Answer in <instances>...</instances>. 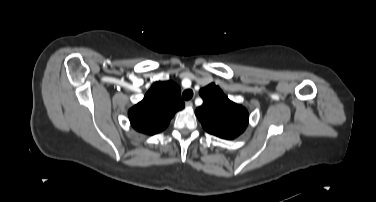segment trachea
<instances>
[{
    "label": "trachea",
    "mask_w": 376,
    "mask_h": 202,
    "mask_svg": "<svg viewBox=\"0 0 376 202\" xmlns=\"http://www.w3.org/2000/svg\"><path fill=\"white\" fill-rule=\"evenodd\" d=\"M193 96V91L188 89V90H185L183 93H182V98L183 100H190Z\"/></svg>",
    "instance_id": "3493384b"
}]
</instances>
